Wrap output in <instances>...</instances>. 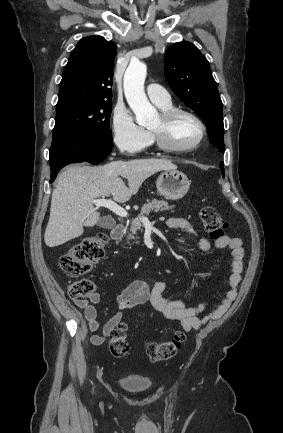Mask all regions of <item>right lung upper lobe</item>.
<instances>
[{"label":"right lung upper lobe","instance_id":"1","mask_svg":"<svg viewBox=\"0 0 283 433\" xmlns=\"http://www.w3.org/2000/svg\"><path fill=\"white\" fill-rule=\"evenodd\" d=\"M116 45L101 36L82 38L71 52L56 111L76 104L111 101Z\"/></svg>","mask_w":283,"mask_h":433}]
</instances>
